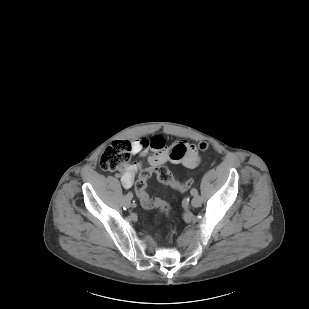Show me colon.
Instances as JSON below:
<instances>
[{
  "mask_svg": "<svg viewBox=\"0 0 309 309\" xmlns=\"http://www.w3.org/2000/svg\"><path fill=\"white\" fill-rule=\"evenodd\" d=\"M208 147L209 146L206 142H201L198 145V149L203 152L206 151ZM131 153L132 145L129 141H115L103 150L100 155L99 165L105 171H120L125 168L130 159ZM153 173H155L160 181L170 185L178 191H186L190 189L194 183V178L189 177L186 181L180 182L173 176L171 171L163 165L157 166L153 170L145 168L140 171L139 177L135 184V191L141 205L145 209L160 207L162 211L167 213L169 211V207L163 201L151 198L146 191V181Z\"/></svg>",
  "mask_w": 309,
  "mask_h": 309,
  "instance_id": "5ec220e1",
  "label": "colon"
}]
</instances>
